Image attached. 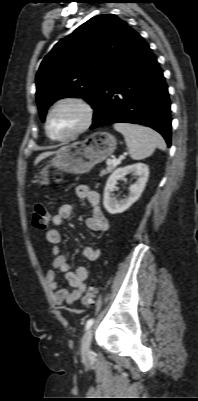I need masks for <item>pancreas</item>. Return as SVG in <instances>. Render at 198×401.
Listing matches in <instances>:
<instances>
[{"mask_svg": "<svg viewBox=\"0 0 198 401\" xmlns=\"http://www.w3.org/2000/svg\"><path fill=\"white\" fill-rule=\"evenodd\" d=\"M114 168L115 165L113 163L107 164V167L100 172V176L102 177L108 173H111L114 170Z\"/></svg>", "mask_w": 198, "mask_h": 401, "instance_id": "pancreas-1", "label": "pancreas"}]
</instances>
